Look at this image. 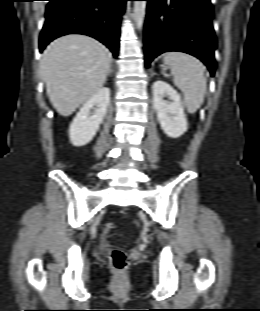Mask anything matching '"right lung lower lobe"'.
Here are the masks:
<instances>
[{"label": "right lung lower lobe", "instance_id": "98d812e1", "mask_svg": "<svg viewBox=\"0 0 260 311\" xmlns=\"http://www.w3.org/2000/svg\"><path fill=\"white\" fill-rule=\"evenodd\" d=\"M40 51L53 39L84 34L105 44L118 55L121 15L127 0H48Z\"/></svg>", "mask_w": 260, "mask_h": 311}]
</instances>
